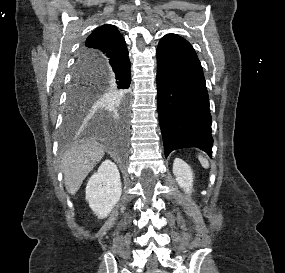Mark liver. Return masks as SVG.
<instances>
[{"instance_id":"obj_1","label":"liver","mask_w":285,"mask_h":273,"mask_svg":"<svg viewBox=\"0 0 285 273\" xmlns=\"http://www.w3.org/2000/svg\"><path fill=\"white\" fill-rule=\"evenodd\" d=\"M104 147L94 141H86L65 151L61 157V170L65 188L71 195L76 194L83 180L103 158Z\"/></svg>"}]
</instances>
